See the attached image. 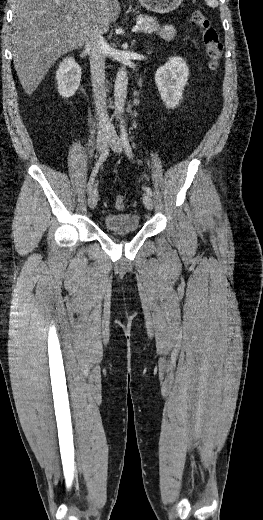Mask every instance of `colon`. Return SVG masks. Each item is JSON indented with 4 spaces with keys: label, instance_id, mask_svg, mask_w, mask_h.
I'll return each mask as SVG.
<instances>
[{
    "label": "colon",
    "instance_id": "5ec220e1",
    "mask_svg": "<svg viewBox=\"0 0 263 520\" xmlns=\"http://www.w3.org/2000/svg\"><path fill=\"white\" fill-rule=\"evenodd\" d=\"M190 22L202 32V41L208 59L209 68L211 70H216L219 67L223 49L216 29L210 20L199 10H195L192 13ZM125 206V198L122 195L116 196L115 207L121 210L124 209Z\"/></svg>",
    "mask_w": 263,
    "mask_h": 520
}]
</instances>
